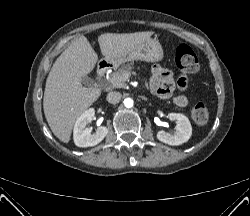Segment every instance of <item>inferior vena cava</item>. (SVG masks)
Masks as SVG:
<instances>
[{"mask_svg":"<svg viewBox=\"0 0 250 216\" xmlns=\"http://www.w3.org/2000/svg\"><path fill=\"white\" fill-rule=\"evenodd\" d=\"M122 94L117 91H111L107 94V101L111 104H116L121 100Z\"/></svg>","mask_w":250,"mask_h":216,"instance_id":"1","label":"inferior vena cava"}]
</instances>
